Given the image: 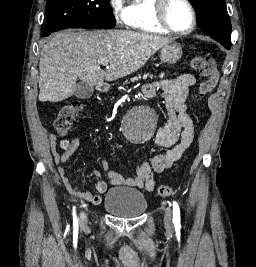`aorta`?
Masks as SVG:
<instances>
[{
  "label": "aorta",
  "instance_id": "aorta-1",
  "mask_svg": "<svg viewBox=\"0 0 256 267\" xmlns=\"http://www.w3.org/2000/svg\"><path fill=\"white\" fill-rule=\"evenodd\" d=\"M131 117H122L125 127H155L154 108H133ZM157 128H124V138L129 143H148V138H154Z\"/></svg>",
  "mask_w": 256,
  "mask_h": 267
}]
</instances>
